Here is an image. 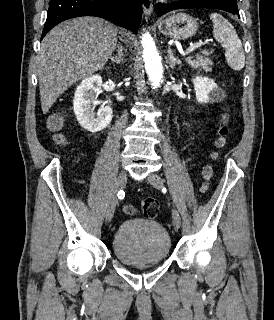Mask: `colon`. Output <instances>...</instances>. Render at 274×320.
I'll return each instance as SVG.
<instances>
[{"instance_id":"5ec220e1","label":"colon","mask_w":274,"mask_h":320,"mask_svg":"<svg viewBox=\"0 0 274 320\" xmlns=\"http://www.w3.org/2000/svg\"><path fill=\"white\" fill-rule=\"evenodd\" d=\"M227 123L228 121L226 119L221 121L222 125L219 130V139L216 143V146L218 148L222 146V143L227 135V128H228ZM62 124H63V119H62V116L59 114H51L47 121V128L50 131L55 133L53 138L56 142H59V143L65 141L64 137L58 133V130L62 127ZM205 174L206 176H208L210 174V170L206 169ZM123 211L127 215H134L137 212V209L131 205H127L124 207ZM141 212L148 219H152L156 217L157 214L159 213L158 202L153 198L145 199L142 204Z\"/></svg>"}]
</instances>
